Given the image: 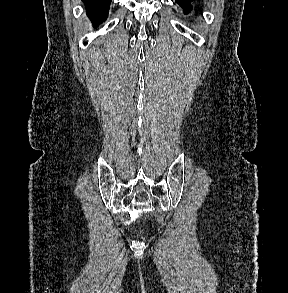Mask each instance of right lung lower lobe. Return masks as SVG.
Listing matches in <instances>:
<instances>
[{
	"mask_svg": "<svg viewBox=\"0 0 288 293\" xmlns=\"http://www.w3.org/2000/svg\"><path fill=\"white\" fill-rule=\"evenodd\" d=\"M85 4L87 16L96 27L106 20L111 0H82Z\"/></svg>",
	"mask_w": 288,
	"mask_h": 293,
	"instance_id": "obj_1",
	"label": "right lung lower lobe"
}]
</instances>
